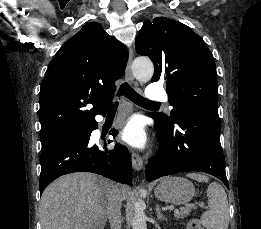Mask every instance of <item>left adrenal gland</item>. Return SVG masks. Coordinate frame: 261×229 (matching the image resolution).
Masks as SVG:
<instances>
[{
    "label": "left adrenal gland",
    "mask_w": 261,
    "mask_h": 229,
    "mask_svg": "<svg viewBox=\"0 0 261 229\" xmlns=\"http://www.w3.org/2000/svg\"><path fill=\"white\" fill-rule=\"evenodd\" d=\"M156 213H157L158 221L159 219H161V221H167L166 217L162 215V211H160V205H156Z\"/></svg>",
    "instance_id": "a2214340"
}]
</instances>
